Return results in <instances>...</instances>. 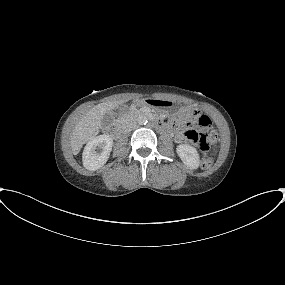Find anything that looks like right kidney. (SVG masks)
Wrapping results in <instances>:
<instances>
[{
	"label": "right kidney",
	"instance_id": "ca27d5eb",
	"mask_svg": "<svg viewBox=\"0 0 285 285\" xmlns=\"http://www.w3.org/2000/svg\"><path fill=\"white\" fill-rule=\"evenodd\" d=\"M113 146V139L106 134L91 139L85 146L82 160L86 169L95 171L108 160ZM100 149L101 152H97Z\"/></svg>",
	"mask_w": 285,
	"mask_h": 285
}]
</instances>
